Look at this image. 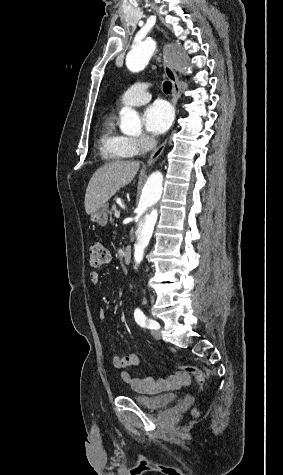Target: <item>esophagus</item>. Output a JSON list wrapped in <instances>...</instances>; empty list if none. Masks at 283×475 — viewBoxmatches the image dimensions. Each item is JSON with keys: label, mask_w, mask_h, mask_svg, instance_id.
<instances>
[{"label": "esophagus", "mask_w": 283, "mask_h": 475, "mask_svg": "<svg viewBox=\"0 0 283 475\" xmlns=\"http://www.w3.org/2000/svg\"><path fill=\"white\" fill-rule=\"evenodd\" d=\"M164 69H165L166 76L168 77V79L172 83V95H173L172 102L175 105L177 100L181 96L180 83H179L178 77L176 75V72L174 71V69L172 68V66L170 65V63L168 62V60L166 58L164 60ZM166 143H167V140H165V142H163L162 145H160V147H158V148H156V150H154V152L150 155V158L148 160V165H151V163H154L158 159V157L163 152V150L166 146Z\"/></svg>", "instance_id": "esophagus-1"}]
</instances>
